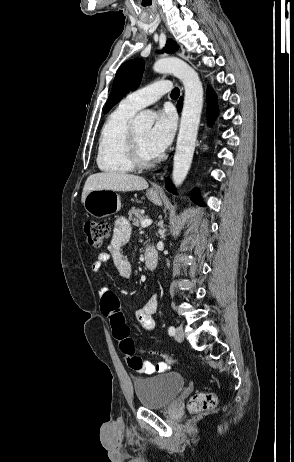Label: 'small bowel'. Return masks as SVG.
I'll list each match as a JSON object with an SVG mask.
<instances>
[{"mask_svg": "<svg viewBox=\"0 0 294 462\" xmlns=\"http://www.w3.org/2000/svg\"><path fill=\"white\" fill-rule=\"evenodd\" d=\"M130 235L131 228L129 223L124 218L118 219L114 225L113 237L107 247V252H102L97 256L91 266L92 271L95 273L99 272L103 264L112 259L119 275L124 279H129L132 276V266L123 253V247L128 242ZM109 291L110 289L108 287H102L99 290V294L102 297ZM158 304V295H153L146 301L143 307L136 311L138 322L142 328L148 332L153 331L156 326L153 315L158 309ZM170 366V362L167 360L155 364L147 360H142L141 367L133 370L137 373L151 375L165 372L170 369Z\"/></svg>", "mask_w": 294, "mask_h": 462, "instance_id": "small-bowel-1", "label": "small bowel"}]
</instances>
